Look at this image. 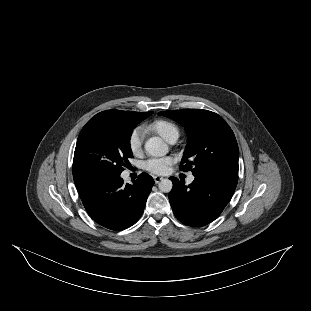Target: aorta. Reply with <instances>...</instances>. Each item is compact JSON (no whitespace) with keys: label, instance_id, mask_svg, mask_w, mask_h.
<instances>
[{"label":"aorta","instance_id":"1","mask_svg":"<svg viewBox=\"0 0 311 311\" xmlns=\"http://www.w3.org/2000/svg\"><path fill=\"white\" fill-rule=\"evenodd\" d=\"M145 150L146 152L154 157H162L165 156L169 149L168 145L163 142V140L160 137H151L149 138L145 143ZM172 181L169 179H163L159 183V189L162 192L168 193L172 189Z\"/></svg>","mask_w":311,"mask_h":311}]
</instances>
